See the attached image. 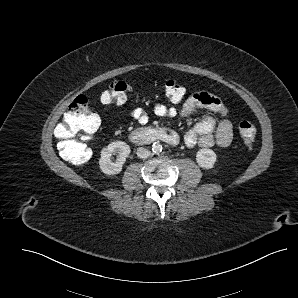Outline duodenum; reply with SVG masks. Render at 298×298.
I'll use <instances>...</instances> for the list:
<instances>
[{
    "instance_id": "obj_1",
    "label": "duodenum",
    "mask_w": 298,
    "mask_h": 298,
    "mask_svg": "<svg viewBox=\"0 0 298 298\" xmlns=\"http://www.w3.org/2000/svg\"><path fill=\"white\" fill-rule=\"evenodd\" d=\"M129 138L133 143L140 145L153 142L176 145L179 142L177 133L166 128L137 129L129 134Z\"/></svg>"
}]
</instances>
